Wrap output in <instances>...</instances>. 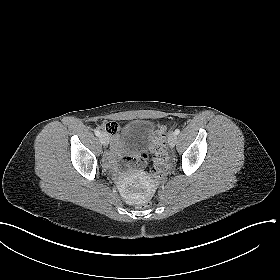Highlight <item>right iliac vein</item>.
I'll return each instance as SVG.
<instances>
[{
    "instance_id": "1",
    "label": "right iliac vein",
    "mask_w": 280,
    "mask_h": 280,
    "mask_svg": "<svg viewBox=\"0 0 280 280\" xmlns=\"http://www.w3.org/2000/svg\"><path fill=\"white\" fill-rule=\"evenodd\" d=\"M100 141L104 146H107L109 144V137L106 133H102L100 135Z\"/></svg>"
}]
</instances>
